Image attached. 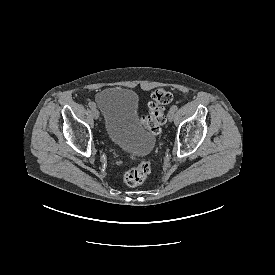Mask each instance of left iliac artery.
<instances>
[{
    "instance_id": "1",
    "label": "left iliac artery",
    "mask_w": 275,
    "mask_h": 275,
    "mask_svg": "<svg viewBox=\"0 0 275 275\" xmlns=\"http://www.w3.org/2000/svg\"><path fill=\"white\" fill-rule=\"evenodd\" d=\"M178 109V107L176 106V105H173L171 108H170V110H172V111H176Z\"/></svg>"
}]
</instances>
